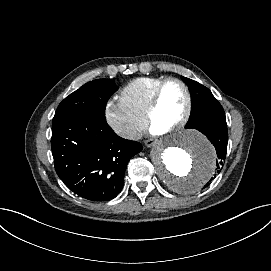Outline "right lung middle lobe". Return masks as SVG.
Returning <instances> with one entry per match:
<instances>
[{"label":"right lung middle lobe","mask_w":271,"mask_h":271,"mask_svg":"<svg viewBox=\"0 0 271 271\" xmlns=\"http://www.w3.org/2000/svg\"><path fill=\"white\" fill-rule=\"evenodd\" d=\"M117 89L110 79H97L84 84L59 104L53 122L73 114L105 118L106 103Z\"/></svg>","instance_id":"obj_1"}]
</instances>
